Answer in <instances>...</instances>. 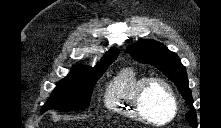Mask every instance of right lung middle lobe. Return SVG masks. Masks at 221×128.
Returning <instances> with one entry per match:
<instances>
[{
    "mask_svg": "<svg viewBox=\"0 0 221 128\" xmlns=\"http://www.w3.org/2000/svg\"><path fill=\"white\" fill-rule=\"evenodd\" d=\"M117 57L112 56L93 69L84 67L67 75L57 84L41 113L49 109L77 111L88 108L97 80Z\"/></svg>",
    "mask_w": 221,
    "mask_h": 128,
    "instance_id": "right-lung-middle-lobe-1",
    "label": "right lung middle lobe"
}]
</instances>
